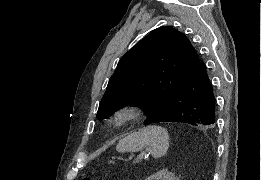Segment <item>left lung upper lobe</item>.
<instances>
[{"label": "left lung upper lobe", "mask_w": 261, "mask_h": 180, "mask_svg": "<svg viewBox=\"0 0 261 180\" xmlns=\"http://www.w3.org/2000/svg\"><path fill=\"white\" fill-rule=\"evenodd\" d=\"M198 60L189 39L170 26L157 28L119 61L100 102L106 119L123 105L137 106L153 123L166 109L179 83Z\"/></svg>", "instance_id": "obj_1"}]
</instances>
